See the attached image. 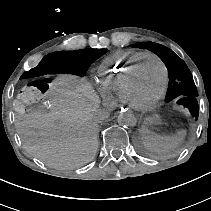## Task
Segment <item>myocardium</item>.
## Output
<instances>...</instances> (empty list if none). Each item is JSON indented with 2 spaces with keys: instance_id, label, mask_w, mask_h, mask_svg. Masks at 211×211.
<instances>
[{
  "instance_id": "f54148a6",
  "label": "myocardium",
  "mask_w": 211,
  "mask_h": 211,
  "mask_svg": "<svg viewBox=\"0 0 211 211\" xmlns=\"http://www.w3.org/2000/svg\"><path fill=\"white\" fill-rule=\"evenodd\" d=\"M147 59H153L155 60L161 67L162 74H163V83L162 87L160 89V92L158 95L153 98L152 100L146 102V103H140L136 101L132 95V82L133 78L136 74L137 69L140 67L143 61ZM167 77H168V72L167 68L164 64V62L156 55L153 54H147L141 58L139 63L128 73L127 77L125 78L124 84H123V89H122V94H121V101L126 104L130 109L139 111V112H149L152 109H154L157 104L161 101V99L164 96L165 93V88L167 84Z\"/></svg>"
}]
</instances>
